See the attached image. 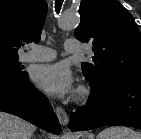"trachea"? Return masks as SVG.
Masks as SVG:
<instances>
[{
  "label": "trachea",
  "mask_w": 141,
  "mask_h": 139,
  "mask_svg": "<svg viewBox=\"0 0 141 139\" xmlns=\"http://www.w3.org/2000/svg\"><path fill=\"white\" fill-rule=\"evenodd\" d=\"M64 0H55V11L59 13Z\"/></svg>",
  "instance_id": "trachea-1"
}]
</instances>
